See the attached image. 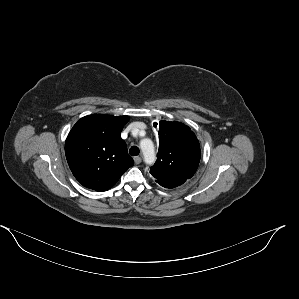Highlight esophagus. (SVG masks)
<instances>
[{
    "label": "esophagus",
    "instance_id": "1",
    "mask_svg": "<svg viewBox=\"0 0 299 299\" xmlns=\"http://www.w3.org/2000/svg\"><path fill=\"white\" fill-rule=\"evenodd\" d=\"M141 161H142L141 157H139V156L134 157V162L136 165L140 164Z\"/></svg>",
    "mask_w": 299,
    "mask_h": 299
}]
</instances>
